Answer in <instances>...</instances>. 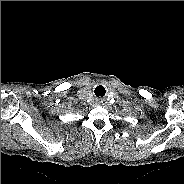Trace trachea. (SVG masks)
Listing matches in <instances>:
<instances>
[{
    "label": "trachea",
    "mask_w": 184,
    "mask_h": 184,
    "mask_svg": "<svg viewBox=\"0 0 184 184\" xmlns=\"http://www.w3.org/2000/svg\"><path fill=\"white\" fill-rule=\"evenodd\" d=\"M105 94H106V90H105L104 86L98 85L95 88V95H96V97H104Z\"/></svg>",
    "instance_id": "1"
}]
</instances>
